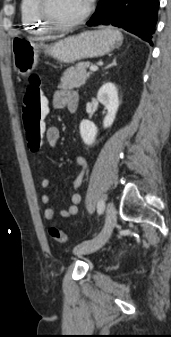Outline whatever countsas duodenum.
Here are the masks:
<instances>
[{"instance_id":"410a0bca","label":"duodenum","mask_w":171,"mask_h":337,"mask_svg":"<svg viewBox=\"0 0 171 337\" xmlns=\"http://www.w3.org/2000/svg\"><path fill=\"white\" fill-rule=\"evenodd\" d=\"M76 109H77L76 105H71V106L69 107V111H70V112H74V111H76Z\"/></svg>"}]
</instances>
